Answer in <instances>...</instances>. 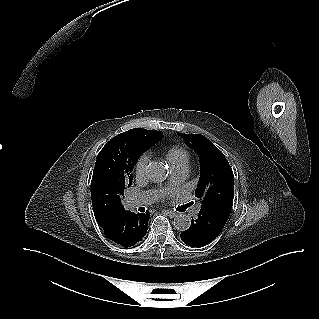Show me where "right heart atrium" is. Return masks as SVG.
<instances>
[{
	"label": "right heart atrium",
	"mask_w": 319,
	"mask_h": 319,
	"mask_svg": "<svg viewBox=\"0 0 319 319\" xmlns=\"http://www.w3.org/2000/svg\"><path fill=\"white\" fill-rule=\"evenodd\" d=\"M148 162L149 156L147 154H143L137 159L135 164V173L137 177H142L145 175Z\"/></svg>",
	"instance_id": "d8ad5b80"
}]
</instances>
